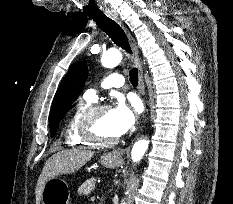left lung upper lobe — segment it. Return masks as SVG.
Masks as SVG:
<instances>
[{"mask_svg":"<svg viewBox=\"0 0 233 204\" xmlns=\"http://www.w3.org/2000/svg\"><path fill=\"white\" fill-rule=\"evenodd\" d=\"M87 75L88 69L86 63L79 62L70 69L60 84L54 96L49 117L52 137L65 113L78 98L87 79Z\"/></svg>","mask_w":233,"mask_h":204,"instance_id":"1","label":"left lung upper lobe"}]
</instances>
